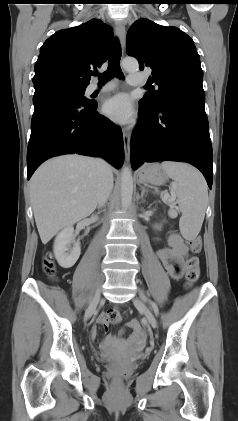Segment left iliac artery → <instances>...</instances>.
<instances>
[{"instance_id": "obj_1", "label": "left iliac artery", "mask_w": 238, "mask_h": 421, "mask_svg": "<svg viewBox=\"0 0 238 421\" xmlns=\"http://www.w3.org/2000/svg\"><path fill=\"white\" fill-rule=\"evenodd\" d=\"M140 297L143 301L148 302L152 306L155 315L158 316L159 310H158L157 305L152 300L147 298L142 291H140Z\"/></svg>"}]
</instances>
